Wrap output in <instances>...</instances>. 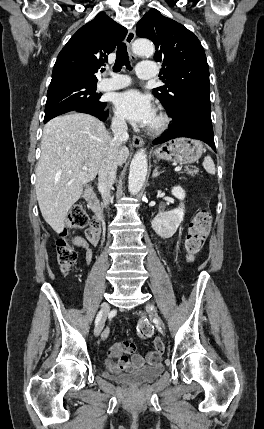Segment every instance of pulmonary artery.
<instances>
[{
  "label": "pulmonary artery",
  "mask_w": 264,
  "mask_h": 429,
  "mask_svg": "<svg viewBox=\"0 0 264 429\" xmlns=\"http://www.w3.org/2000/svg\"><path fill=\"white\" fill-rule=\"evenodd\" d=\"M157 74L156 65L153 62H141L137 66V75L141 79H150ZM110 78L103 79L99 82L100 90L109 91L124 88L130 84V78L126 75L110 73Z\"/></svg>",
  "instance_id": "1"
}]
</instances>
